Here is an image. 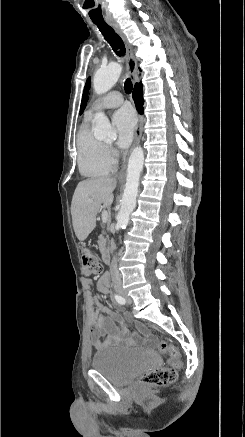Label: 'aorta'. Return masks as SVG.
I'll use <instances>...</instances> for the list:
<instances>
[{
	"label": "aorta",
	"mask_w": 245,
	"mask_h": 437,
	"mask_svg": "<svg viewBox=\"0 0 245 437\" xmlns=\"http://www.w3.org/2000/svg\"><path fill=\"white\" fill-rule=\"evenodd\" d=\"M121 66L118 63H113L105 68L99 69L93 78V87L97 94L108 92L118 81L121 74ZM96 127L94 136L97 139H113L117 138L116 130L111 126L108 118L103 113L95 115ZM144 164V151L139 146L136 147L128 161L127 176L124 192L121 199V208L117 214V225L125 229L129 223L131 213L136 207V198L138 194V186L140 174Z\"/></svg>",
	"instance_id": "obj_1"
}]
</instances>
